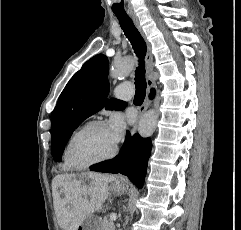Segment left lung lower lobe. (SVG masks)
<instances>
[{
	"instance_id": "0a47b994",
	"label": "left lung lower lobe",
	"mask_w": 241,
	"mask_h": 230,
	"mask_svg": "<svg viewBox=\"0 0 241 230\" xmlns=\"http://www.w3.org/2000/svg\"><path fill=\"white\" fill-rule=\"evenodd\" d=\"M152 143L149 138L138 134L131 137L127 132L120 153L112 160L101 162L90 167L92 171L121 173L126 175L137 187L142 188Z\"/></svg>"
}]
</instances>
